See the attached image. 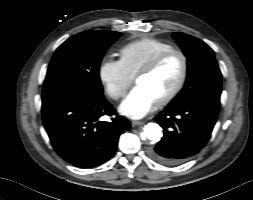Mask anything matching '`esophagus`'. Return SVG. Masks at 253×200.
<instances>
[{"label":"esophagus","instance_id":"obj_1","mask_svg":"<svg viewBox=\"0 0 253 200\" xmlns=\"http://www.w3.org/2000/svg\"><path fill=\"white\" fill-rule=\"evenodd\" d=\"M144 124V122H142V121H132L131 122V125L134 127V126H138V125H143Z\"/></svg>","mask_w":253,"mask_h":200}]
</instances>
